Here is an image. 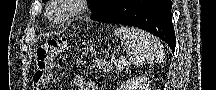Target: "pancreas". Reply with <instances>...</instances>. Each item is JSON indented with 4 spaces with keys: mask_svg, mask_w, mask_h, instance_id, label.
Returning <instances> with one entry per match:
<instances>
[{
    "mask_svg": "<svg viewBox=\"0 0 216 90\" xmlns=\"http://www.w3.org/2000/svg\"><path fill=\"white\" fill-rule=\"evenodd\" d=\"M98 71L99 72H110L111 64H98Z\"/></svg>",
    "mask_w": 216,
    "mask_h": 90,
    "instance_id": "obj_1",
    "label": "pancreas"
}]
</instances>
